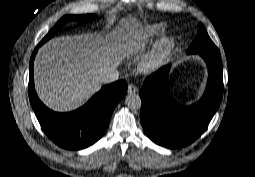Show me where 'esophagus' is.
<instances>
[{
    "instance_id": "esophagus-1",
    "label": "esophagus",
    "mask_w": 255,
    "mask_h": 177,
    "mask_svg": "<svg viewBox=\"0 0 255 177\" xmlns=\"http://www.w3.org/2000/svg\"><path fill=\"white\" fill-rule=\"evenodd\" d=\"M137 90L138 89L134 84H129V86H128V93L129 94H136Z\"/></svg>"
}]
</instances>
